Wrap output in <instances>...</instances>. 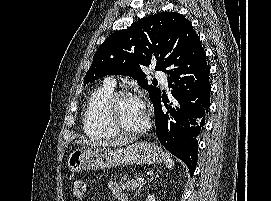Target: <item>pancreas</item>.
Instances as JSON below:
<instances>
[{"label":"pancreas","mask_w":271,"mask_h":201,"mask_svg":"<svg viewBox=\"0 0 271 201\" xmlns=\"http://www.w3.org/2000/svg\"><path fill=\"white\" fill-rule=\"evenodd\" d=\"M120 187L127 191H134L137 187H139V182L135 179V177L128 178L124 176L119 182Z\"/></svg>","instance_id":"obj_1"}]
</instances>
